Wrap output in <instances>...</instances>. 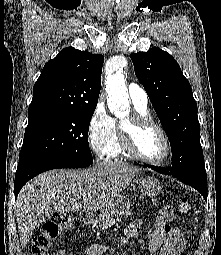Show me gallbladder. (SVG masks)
Returning <instances> with one entry per match:
<instances>
[{"mask_svg": "<svg viewBox=\"0 0 221 255\" xmlns=\"http://www.w3.org/2000/svg\"><path fill=\"white\" fill-rule=\"evenodd\" d=\"M51 215L52 211L44 212L36 219L35 225L39 227L41 224L45 223L50 218Z\"/></svg>", "mask_w": 221, "mask_h": 255, "instance_id": "obj_1", "label": "gallbladder"}]
</instances>
